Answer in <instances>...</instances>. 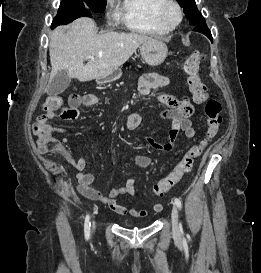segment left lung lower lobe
<instances>
[{"instance_id": "0a47b994", "label": "left lung lower lobe", "mask_w": 261, "mask_h": 273, "mask_svg": "<svg viewBox=\"0 0 261 273\" xmlns=\"http://www.w3.org/2000/svg\"><path fill=\"white\" fill-rule=\"evenodd\" d=\"M194 30L198 31L200 33H203L204 35H206L212 41V35H211V32L208 29L206 23H201L199 25H196Z\"/></svg>"}]
</instances>
